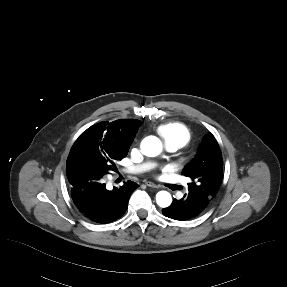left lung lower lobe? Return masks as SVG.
<instances>
[{"mask_svg":"<svg viewBox=\"0 0 287 287\" xmlns=\"http://www.w3.org/2000/svg\"><path fill=\"white\" fill-rule=\"evenodd\" d=\"M207 206L188 194L180 200L174 199L169 207L162 209V212L171 219L184 221L198 216Z\"/></svg>","mask_w":287,"mask_h":287,"instance_id":"left-lung-lower-lobe-1","label":"left lung lower lobe"}]
</instances>
